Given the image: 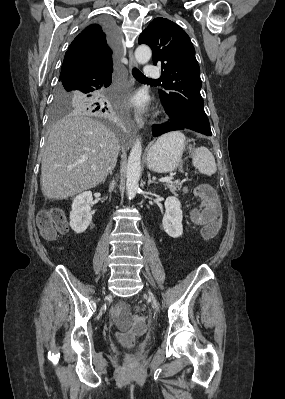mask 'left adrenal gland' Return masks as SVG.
Segmentation results:
<instances>
[{
  "mask_svg": "<svg viewBox=\"0 0 285 399\" xmlns=\"http://www.w3.org/2000/svg\"><path fill=\"white\" fill-rule=\"evenodd\" d=\"M147 175H148V182H147L148 186H149L150 184H152V183H156L154 180L151 179V175H150L149 172H147Z\"/></svg>",
  "mask_w": 285,
  "mask_h": 399,
  "instance_id": "1",
  "label": "left adrenal gland"
}]
</instances>
